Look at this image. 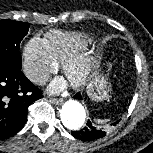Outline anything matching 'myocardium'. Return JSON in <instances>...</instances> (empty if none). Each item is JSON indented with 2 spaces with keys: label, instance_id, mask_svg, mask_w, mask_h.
I'll return each instance as SVG.
<instances>
[{
  "label": "myocardium",
  "instance_id": "obj_1",
  "mask_svg": "<svg viewBox=\"0 0 153 153\" xmlns=\"http://www.w3.org/2000/svg\"><path fill=\"white\" fill-rule=\"evenodd\" d=\"M94 63L91 54H78L63 63V72L74 88H80L87 83Z\"/></svg>",
  "mask_w": 153,
  "mask_h": 153
}]
</instances>
